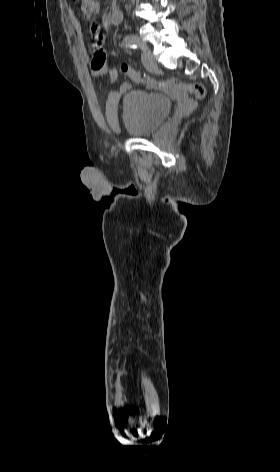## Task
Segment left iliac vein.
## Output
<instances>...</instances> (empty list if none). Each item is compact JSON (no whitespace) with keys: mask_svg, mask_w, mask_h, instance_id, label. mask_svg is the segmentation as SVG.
Here are the masks:
<instances>
[{"mask_svg":"<svg viewBox=\"0 0 280 472\" xmlns=\"http://www.w3.org/2000/svg\"><path fill=\"white\" fill-rule=\"evenodd\" d=\"M142 62L144 67L147 69H154L157 66L155 57L153 56L151 50L148 48H143Z\"/></svg>","mask_w":280,"mask_h":472,"instance_id":"left-iliac-vein-1","label":"left iliac vein"}]
</instances>
